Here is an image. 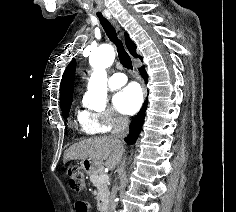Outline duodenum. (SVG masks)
Instances as JSON below:
<instances>
[{
  "instance_id": "duodenum-1",
  "label": "duodenum",
  "mask_w": 236,
  "mask_h": 212,
  "mask_svg": "<svg viewBox=\"0 0 236 212\" xmlns=\"http://www.w3.org/2000/svg\"><path fill=\"white\" fill-rule=\"evenodd\" d=\"M103 211L104 212H110L108 208L104 209Z\"/></svg>"
}]
</instances>
